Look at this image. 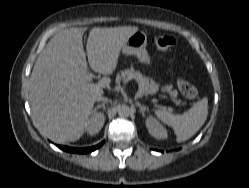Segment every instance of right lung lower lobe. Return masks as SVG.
I'll return each mask as SVG.
<instances>
[{
	"label": "right lung lower lobe",
	"mask_w": 249,
	"mask_h": 188,
	"mask_svg": "<svg viewBox=\"0 0 249 188\" xmlns=\"http://www.w3.org/2000/svg\"><path fill=\"white\" fill-rule=\"evenodd\" d=\"M103 143H104V141L96 146L88 147V148H71L68 146H59V148L64 150V151L71 152V153H90V152L98 149L100 146H102Z\"/></svg>",
	"instance_id": "1"
}]
</instances>
